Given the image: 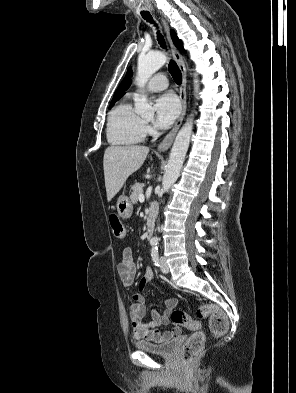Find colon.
<instances>
[{
    "instance_id": "1",
    "label": "colon",
    "mask_w": 296,
    "mask_h": 393,
    "mask_svg": "<svg viewBox=\"0 0 296 393\" xmlns=\"http://www.w3.org/2000/svg\"><path fill=\"white\" fill-rule=\"evenodd\" d=\"M110 225L115 237L121 239L126 236L125 227L115 214L110 216ZM197 315L200 318H209L210 329L214 336L219 337L227 332V316L216 304L202 305L198 309ZM170 320L176 325H182L196 331L184 343L180 353L185 365L190 366L204 348L205 335L199 331L201 328L199 322L182 310H173L170 314Z\"/></svg>"
}]
</instances>
